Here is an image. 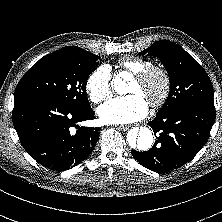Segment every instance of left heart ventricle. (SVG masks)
I'll return each instance as SVG.
<instances>
[{
  "label": "left heart ventricle",
  "mask_w": 222,
  "mask_h": 222,
  "mask_svg": "<svg viewBox=\"0 0 222 222\" xmlns=\"http://www.w3.org/2000/svg\"><path fill=\"white\" fill-rule=\"evenodd\" d=\"M161 88L162 80L158 76L153 77L147 83H140L134 79L128 88V93L140 94L149 104L159 95Z\"/></svg>",
  "instance_id": "b2bd125f"
}]
</instances>
